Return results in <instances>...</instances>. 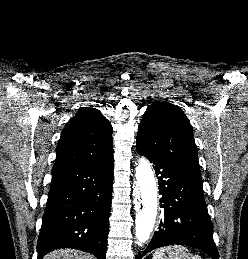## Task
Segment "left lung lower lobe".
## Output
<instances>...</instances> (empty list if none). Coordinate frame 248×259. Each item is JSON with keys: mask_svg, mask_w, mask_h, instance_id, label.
Segmentation results:
<instances>
[{"mask_svg": "<svg viewBox=\"0 0 248 259\" xmlns=\"http://www.w3.org/2000/svg\"><path fill=\"white\" fill-rule=\"evenodd\" d=\"M136 149L154 163L159 194L162 195L160 207L164 208L158 231L136 259H141L153 249L172 244L192 246L212 259H219L202 183L190 180L166 159L147 148L137 144Z\"/></svg>", "mask_w": 248, "mask_h": 259, "instance_id": "obj_1", "label": "left lung lower lobe"}]
</instances>
